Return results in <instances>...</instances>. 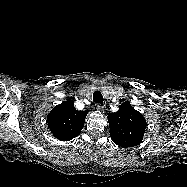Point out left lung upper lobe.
Here are the masks:
<instances>
[{"label": "left lung upper lobe", "instance_id": "obj_1", "mask_svg": "<svg viewBox=\"0 0 187 187\" xmlns=\"http://www.w3.org/2000/svg\"><path fill=\"white\" fill-rule=\"evenodd\" d=\"M108 120L110 136L115 144L127 148L142 142L147 123L129 101L122 103L117 112L109 113Z\"/></svg>", "mask_w": 187, "mask_h": 187}]
</instances>
